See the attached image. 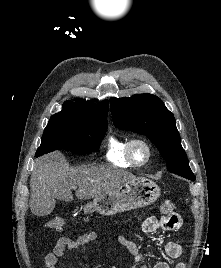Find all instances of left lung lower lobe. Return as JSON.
Here are the masks:
<instances>
[{
	"label": "left lung lower lobe",
	"instance_id": "left-lung-lower-lobe-1",
	"mask_svg": "<svg viewBox=\"0 0 221 268\" xmlns=\"http://www.w3.org/2000/svg\"><path fill=\"white\" fill-rule=\"evenodd\" d=\"M188 179L194 181L195 180V176L194 175H190V176H187Z\"/></svg>",
	"mask_w": 221,
	"mask_h": 268
}]
</instances>
